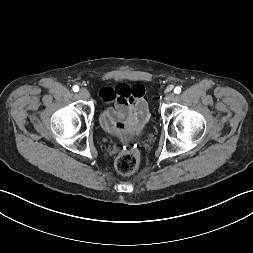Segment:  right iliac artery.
<instances>
[{"mask_svg": "<svg viewBox=\"0 0 253 253\" xmlns=\"http://www.w3.org/2000/svg\"><path fill=\"white\" fill-rule=\"evenodd\" d=\"M72 89H73L74 92H78L79 91V87L77 85L73 86Z\"/></svg>", "mask_w": 253, "mask_h": 253, "instance_id": "1", "label": "right iliac artery"}]
</instances>
